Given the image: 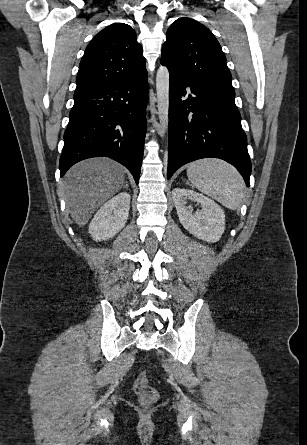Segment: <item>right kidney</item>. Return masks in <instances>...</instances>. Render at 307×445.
Wrapping results in <instances>:
<instances>
[{
	"label": "right kidney",
	"mask_w": 307,
	"mask_h": 445,
	"mask_svg": "<svg viewBox=\"0 0 307 445\" xmlns=\"http://www.w3.org/2000/svg\"><path fill=\"white\" fill-rule=\"evenodd\" d=\"M130 198L128 192H119L99 208L88 229L94 241H107L124 229L129 216Z\"/></svg>",
	"instance_id": "ca27d5eb"
}]
</instances>
